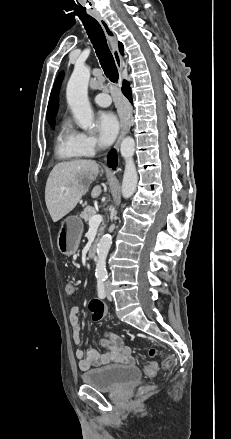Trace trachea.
<instances>
[{
    "instance_id": "3493384b",
    "label": "trachea",
    "mask_w": 231,
    "mask_h": 439,
    "mask_svg": "<svg viewBox=\"0 0 231 439\" xmlns=\"http://www.w3.org/2000/svg\"><path fill=\"white\" fill-rule=\"evenodd\" d=\"M83 25L93 44L106 77L109 78L111 82L117 83L119 79L118 70L101 25L91 16L90 18L88 16L83 17Z\"/></svg>"
}]
</instances>
